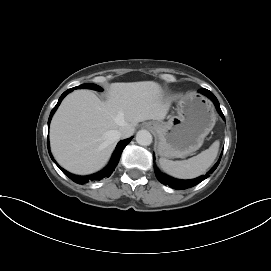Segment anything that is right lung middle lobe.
<instances>
[{
  "label": "right lung middle lobe",
  "mask_w": 271,
  "mask_h": 271,
  "mask_svg": "<svg viewBox=\"0 0 271 271\" xmlns=\"http://www.w3.org/2000/svg\"><path fill=\"white\" fill-rule=\"evenodd\" d=\"M78 88H89V89H93L97 91H102V88L95 84H82L80 86L74 87V89H78Z\"/></svg>",
  "instance_id": "right-lung-middle-lobe-1"
}]
</instances>
